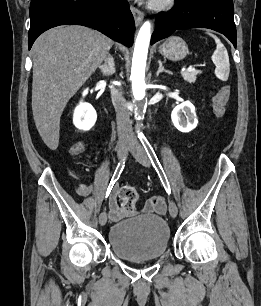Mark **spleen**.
Returning a JSON list of instances; mask_svg holds the SVG:
<instances>
[{
	"instance_id": "spleen-1",
	"label": "spleen",
	"mask_w": 261,
	"mask_h": 306,
	"mask_svg": "<svg viewBox=\"0 0 261 306\" xmlns=\"http://www.w3.org/2000/svg\"><path fill=\"white\" fill-rule=\"evenodd\" d=\"M207 34L213 37L216 43V50L211 57L214 65L216 66L215 75L220 80L227 81L230 72L228 52L224 45L221 43L220 39L209 32H207Z\"/></svg>"
}]
</instances>
